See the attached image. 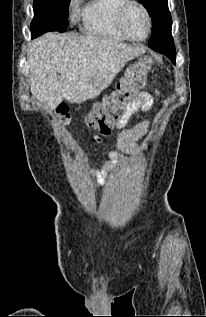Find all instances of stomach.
Listing matches in <instances>:
<instances>
[{
  "mask_svg": "<svg viewBox=\"0 0 206 317\" xmlns=\"http://www.w3.org/2000/svg\"><path fill=\"white\" fill-rule=\"evenodd\" d=\"M138 59L135 60V63H126V69L127 68H133V65H136ZM107 78H103L102 81H99V83L95 86L90 85V90H97L99 93H102L103 91H110L111 88H114L115 83L114 81H111V79H114L115 74L114 72H107L106 74Z\"/></svg>",
  "mask_w": 206,
  "mask_h": 317,
  "instance_id": "obj_1",
  "label": "stomach"
}]
</instances>
